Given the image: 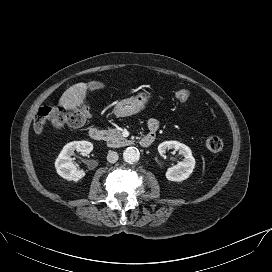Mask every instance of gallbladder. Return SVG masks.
<instances>
[{
  "mask_svg": "<svg viewBox=\"0 0 272 272\" xmlns=\"http://www.w3.org/2000/svg\"><path fill=\"white\" fill-rule=\"evenodd\" d=\"M105 85L102 82L99 81H92L88 84V89L92 92L96 89L104 88Z\"/></svg>",
  "mask_w": 272,
  "mask_h": 272,
  "instance_id": "obj_1",
  "label": "gallbladder"
}]
</instances>
